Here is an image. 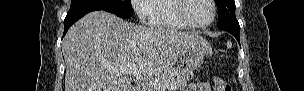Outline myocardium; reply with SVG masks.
I'll use <instances>...</instances> for the list:
<instances>
[{
	"label": "myocardium",
	"mask_w": 304,
	"mask_h": 91,
	"mask_svg": "<svg viewBox=\"0 0 304 91\" xmlns=\"http://www.w3.org/2000/svg\"><path fill=\"white\" fill-rule=\"evenodd\" d=\"M189 1L190 0H177V4H176V15H177V17L184 24H186L189 28L205 29V28L210 27L215 22L216 15H217L215 2L213 0H207V2L210 4V6L212 8V18H211V20L206 24H195L194 22H192L189 19L188 15H187V9L189 7Z\"/></svg>",
	"instance_id": "obj_1"
}]
</instances>
